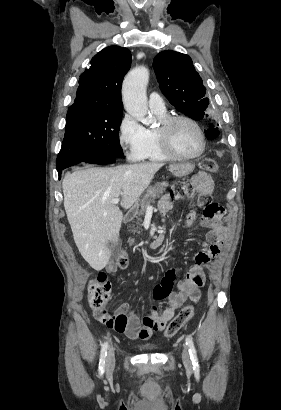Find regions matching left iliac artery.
<instances>
[{"label": "left iliac artery", "instance_id": "obj_1", "mask_svg": "<svg viewBox=\"0 0 281 410\" xmlns=\"http://www.w3.org/2000/svg\"><path fill=\"white\" fill-rule=\"evenodd\" d=\"M186 345L189 348V353H190V357H191V360H192L193 368L194 369H199L196 349H195V346H194V343H193L192 339L189 336L186 337Z\"/></svg>", "mask_w": 281, "mask_h": 410}]
</instances>
